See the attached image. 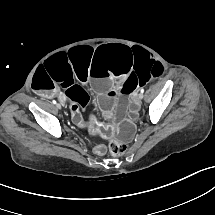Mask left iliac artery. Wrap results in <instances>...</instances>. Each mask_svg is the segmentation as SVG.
Instances as JSON below:
<instances>
[{"mask_svg": "<svg viewBox=\"0 0 215 215\" xmlns=\"http://www.w3.org/2000/svg\"><path fill=\"white\" fill-rule=\"evenodd\" d=\"M144 92V89H141V93H143Z\"/></svg>", "mask_w": 215, "mask_h": 215, "instance_id": "1", "label": "left iliac artery"}]
</instances>
